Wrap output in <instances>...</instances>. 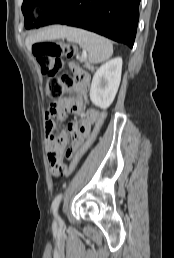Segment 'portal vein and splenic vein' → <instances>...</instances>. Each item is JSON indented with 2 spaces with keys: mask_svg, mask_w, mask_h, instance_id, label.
Segmentation results:
<instances>
[{
  "mask_svg": "<svg viewBox=\"0 0 174 258\" xmlns=\"http://www.w3.org/2000/svg\"><path fill=\"white\" fill-rule=\"evenodd\" d=\"M86 56H87L86 53L83 52L82 57H83V58H86Z\"/></svg>",
  "mask_w": 174,
  "mask_h": 258,
  "instance_id": "obj_1",
  "label": "portal vein and splenic vein"
}]
</instances>
